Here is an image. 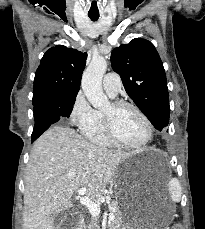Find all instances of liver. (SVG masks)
<instances>
[{
	"instance_id": "6515ba94",
	"label": "liver",
	"mask_w": 205,
	"mask_h": 229,
	"mask_svg": "<svg viewBox=\"0 0 205 229\" xmlns=\"http://www.w3.org/2000/svg\"><path fill=\"white\" fill-rule=\"evenodd\" d=\"M132 153L96 146L57 125L34 143L25 176L23 229H57L56 215L71 208L72 195L87 188L96 201L113 183L116 168Z\"/></svg>"
}]
</instances>
